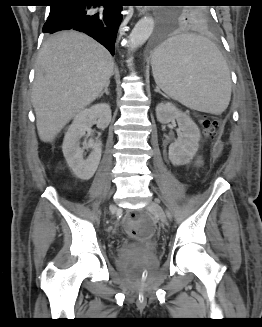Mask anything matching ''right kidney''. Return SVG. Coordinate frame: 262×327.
<instances>
[{
    "instance_id": "1",
    "label": "right kidney",
    "mask_w": 262,
    "mask_h": 327,
    "mask_svg": "<svg viewBox=\"0 0 262 327\" xmlns=\"http://www.w3.org/2000/svg\"><path fill=\"white\" fill-rule=\"evenodd\" d=\"M110 121V106L106 103H99L77 113L69 126L64 137L62 151L69 167L80 179L88 180L94 175L102 153V143L100 141H85L83 142V148H81L80 139L85 136L93 124H97L100 129H105ZM86 148H91L92 152L85 159L84 149Z\"/></svg>"
}]
</instances>
